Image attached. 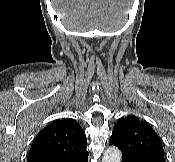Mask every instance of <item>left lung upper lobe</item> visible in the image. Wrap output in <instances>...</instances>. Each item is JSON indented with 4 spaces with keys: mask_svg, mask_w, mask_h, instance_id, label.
<instances>
[{
    "mask_svg": "<svg viewBox=\"0 0 175 162\" xmlns=\"http://www.w3.org/2000/svg\"><path fill=\"white\" fill-rule=\"evenodd\" d=\"M109 145L118 146L124 162H134L144 157L164 158L159 136L147 123L133 115L120 119L109 139Z\"/></svg>",
    "mask_w": 175,
    "mask_h": 162,
    "instance_id": "5c2ea615",
    "label": "left lung upper lobe"
}]
</instances>
